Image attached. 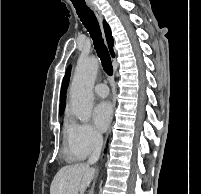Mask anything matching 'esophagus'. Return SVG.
Returning a JSON list of instances; mask_svg holds the SVG:
<instances>
[{
    "label": "esophagus",
    "instance_id": "esophagus-1",
    "mask_svg": "<svg viewBox=\"0 0 201 194\" xmlns=\"http://www.w3.org/2000/svg\"><path fill=\"white\" fill-rule=\"evenodd\" d=\"M90 7H91V9L93 10V12H94L96 18H97L98 21H99V24H100L101 29H102L103 37H104V39H105V35H104V32H103V27H102V22H103L102 14L100 13V11H99V9L97 8L96 5L90 3Z\"/></svg>",
    "mask_w": 201,
    "mask_h": 194
}]
</instances>
